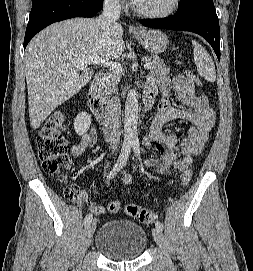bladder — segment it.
Returning a JSON list of instances; mask_svg holds the SVG:
<instances>
[{"mask_svg": "<svg viewBox=\"0 0 253 271\" xmlns=\"http://www.w3.org/2000/svg\"><path fill=\"white\" fill-rule=\"evenodd\" d=\"M147 241L142 227L130 220L114 219L98 230L95 247L109 260L127 261L141 257Z\"/></svg>", "mask_w": 253, "mask_h": 271, "instance_id": "bladder-1", "label": "bladder"}]
</instances>
